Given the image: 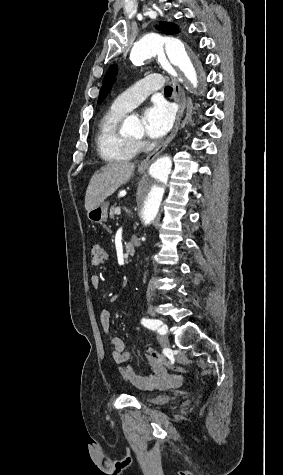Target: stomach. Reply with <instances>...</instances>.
<instances>
[{"instance_id":"1","label":"stomach","mask_w":283,"mask_h":475,"mask_svg":"<svg viewBox=\"0 0 283 475\" xmlns=\"http://www.w3.org/2000/svg\"><path fill=\"white\" fill-rule=\"evenodd\" d=\"M139 174H144L146 170H140L138 168ZM108 202H102L100 206H97V208H94V210H89L87 212V218L90 220L91 224H101V222H107L108 218Z\"/></svg>"}]
</instances>
